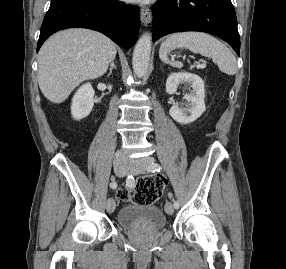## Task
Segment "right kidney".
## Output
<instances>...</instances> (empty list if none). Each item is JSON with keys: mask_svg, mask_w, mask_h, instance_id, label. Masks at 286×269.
Returning a JSON list of instances; mask_svg holds the SVG:
<instances>
[{"mask_svg": "<svg viewBox=\"0 0 286 269\" xmlns=\"http://www.w3.org/2000/svg\"><path fill=\"white\" fill-rule=\"evenodd\" d=\"M95 92L90 83L82 85L72 99L71 114L75 120L87 117L94 106Z\"/></svg>", "mask_w": 286, "mask_h": 269, "instance_id": "obj_1", "label": "right kidney"}]
</instances>
